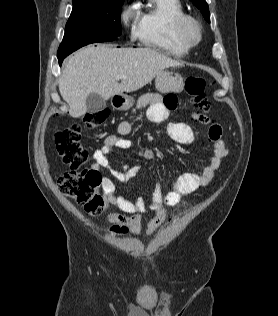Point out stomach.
Instances as JSON below:
<instances>
[{"mask_svg":"<svg viewBox=\"0 0 278 316\" xmlns=\"http://www.w3.org/2000/svg\"><path fill=\"white\" fill-rule=\"evenodd\" d=\"M183 85L182 76L169 71H161L155 79L156 89L160 93L180 92ZM133 104V98L125 94L114 95L111 99V105L116 110H128Z\"/></svg>","mask_w":278,"mask_h":316,"instance_id":"stomach-1","label":"stomach"}]
</instances>
